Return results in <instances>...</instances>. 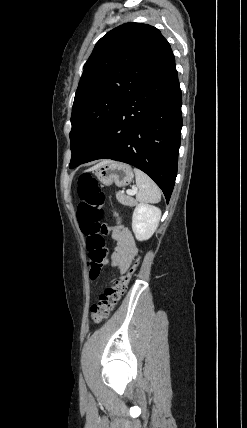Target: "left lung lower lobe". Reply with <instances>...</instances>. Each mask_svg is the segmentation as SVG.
Returning a JSON list of instances; mask_svg holds the SVG:
<instances>
[{
	"label": "left lung lower lobe",
	"instance_id": "obj_1",
	"mask_svg": "<svg viewBox=\"0 0 247 428\" xmlns=\"http://www.w3.org/2000/svg\"><path fill=\"white\" fill-rule=\"evenodd\" d=\"M181 105L173 55L122 102L92 151L74 167L101 158L128 163L149 175L168 202L177 175Z\"/></svg>",
	"mask_w": 247,
	"mask_h": 428
}]
</instances>
